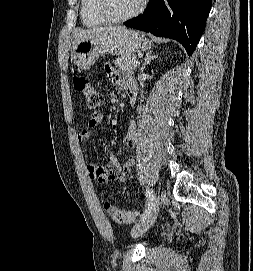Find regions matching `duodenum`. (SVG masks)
Segmentation results:
<instances>
[{
  "label": "duodenum",
  "instance_id": "1",
  "mask_svg": "<svg viewBox=\"0 0 253 271\" xmlns=\"http://www.w3.org/2000/svg\"><path fill=\"white\" fill-rule=\"evenodd\" d=\"M129 97H130V105L133 106L135 96L133 94H129Z\"/></svg>",
  "mask_w": 253,
  "mask_h": 271
}]
</instances>
